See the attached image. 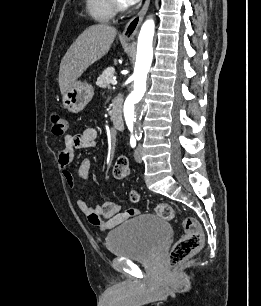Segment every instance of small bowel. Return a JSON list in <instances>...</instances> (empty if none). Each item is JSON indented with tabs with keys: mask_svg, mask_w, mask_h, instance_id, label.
Listing matches in <instances>:
<instances>
[{
	"mask_svg": "<svg viewBox=\"0 0 261 306\" xmlns=\"http://www.w3.org/2000/svg\"><path fill=\"white\" fill-rule=\"evenodd\" d=\"M98 133L93 127H87L82 132L64 137L65 147L58 156V163L62 173L70 187H74L76 179L69 169L74 159V151L77 149L94 148L97 144ZM91 161L88 158L81 160L78 167V176L86 184L89 180ZM79 210L87 217L89 222L101 231L110 230L125 220L137 214L135 208L120 212V207L113 201H104L99 205L90 206L85 200H77Z\"/></svg>",
	"mask_w": 261,
	"mask_h": 306,
	"instance_id": "c3829d8e",
	"label": "small bowel"
}]
</instances>
